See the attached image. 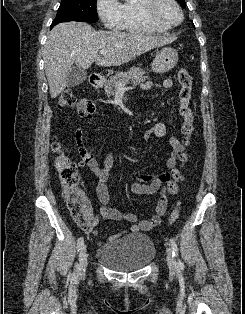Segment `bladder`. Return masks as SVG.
<instances>
[{
    "mask_svg": "<svg viewBox=\"0 0 245 314\" xmlns=\"http://www.w3.org/2000/svg\"><path fill=\"white\" fill-rule=\"evenodd\" d=\"M155 254V246L148 235L130 234L100 247L96 258L113 270L134 271L147 266Z\"/></svg>",
    "mask_w": 245,
    "mask_h": 314,
    "instance_id": "1",
    "label": "bladder"
}]
</instances>
